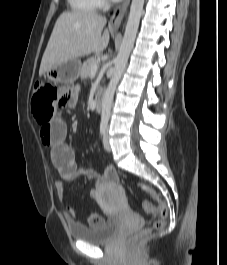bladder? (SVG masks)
<instances>
[{
	"mask_svg": "<svg viewBox=\"0 0 227 265\" xmlns=\"http://www.w3.org/2000/svg\"><path fill=\"white\" fill-rule=\"evenodd\" d=\"M114 190L122 195L119 188L114 187ZM119 221L116 217H110L108 219H103V221L98 225L93 226H83L80 224H69V232L73 239L81 240L89 243H102L109 240L114 233L117 231Z\"/></svg>",
	"mask_w": 227,
	"mask_h": 265,
	"instance_id": "bladder-1",
	"label": "bladder"
}]
</instances>
